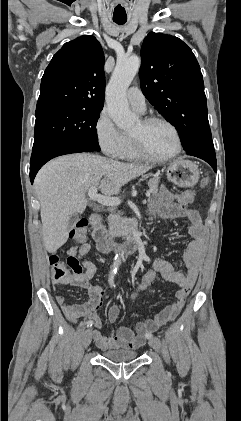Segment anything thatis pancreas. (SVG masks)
I'll return each mask as SVG.
<instances>
[{"instance_id":"obj_1","label":"pancreas","mask_w":241,"mask_h":421,"mask_svg":"<svg viewBox=\"0 0 241 421\" xmlns=\"http://www.w3.org/2000/svg\"><path fill=\"white\" fill-rule=\"evenodd\" d=\"M158 183H159V178H157V177L152 178L148 181L149 192L151 194L157 193ZM133 222H134V220L131 219V218H121L120 216H117L115 214H111L108 217V223H109V226H110L109 232L113 236L123 235L130 230Z\"/></svg>"}]
</instances>
